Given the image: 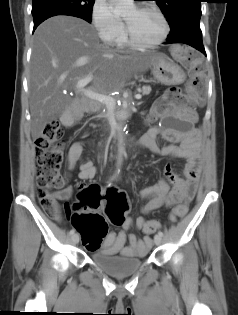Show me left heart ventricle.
<instances>
[{
	"label": "left heart ventricle",
	"mask_w": 238,
	"mask_h": 315,
	"mask_svg": "<svg viewBox=\"0 0 238 315\" xmlns=\"http://www.w3.org/2000/svg\"><path fill=\"white\" fill-rule=\"evenodd\" d=\"M133 37L143 43L154 42L162 35L163 25L160 18L148 10L130 7L124 15Z\"/></svg>",
	"instance_id": "1"
}]
</instances>
